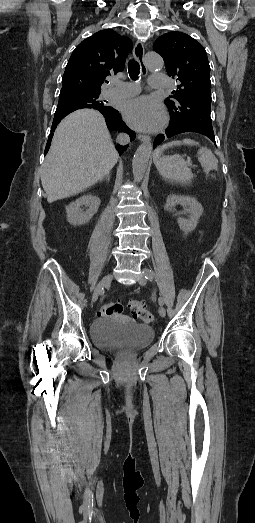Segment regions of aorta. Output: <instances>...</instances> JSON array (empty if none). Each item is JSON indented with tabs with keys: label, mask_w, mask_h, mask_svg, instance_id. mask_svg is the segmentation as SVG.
Segmentation results:
<instances>
[{
	"label": "aorta",
	"mask_w": 255,
	"mask_h": 523,
	"mask_svg": "<svg viewBox=\"0 0 255 523\" xmlns=\"http://www.w3.org/2000/svg\"><path fill=\"white\" fill-rule=\"evenodd\" d=\"M145 65L150 71H158L162 69L164 62L162 57L155 52H148L145 55ZM151 141L143 142L136 150L132 160V170L134 180L140 182L147 169L149 157L152 153Z\"/></svg>",
	"instance_id": "aorta-1"
}]
</instances>
